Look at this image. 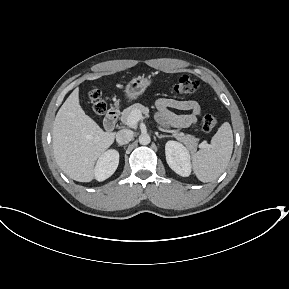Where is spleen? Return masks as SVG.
Here are the masks:
<instances>
[{
  "instance_id": "obj_1",
  "label": "spleen",
  "mask_w": 289,
  "mask_h": 289,
  "mask_svg": "<svg viewBox=\"0 0 289 289\" xmlns=\"http://www.w3.org/2000/svg\"><path fill=\"white\" fill-rule=\"evenodd\" d=\"M233 151V133L225 122L212 137L209 145L203 146L193 155V170L202 182L217 179L226 169Z\"/></svg>"
}]
</instances>
